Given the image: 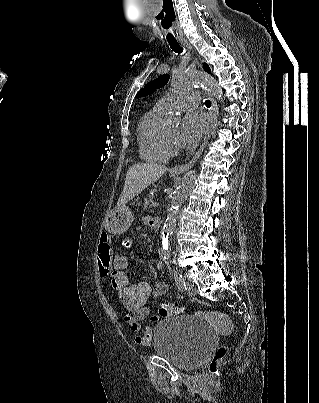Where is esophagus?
I'll use <instances>...</instances> for the list:
<instances>
[{"mask_svg": "<svg viewBox=\"0 0 319 403\" xmlns=\"http://www.w3.org/2000/svg\"><path fill=\"white\" fill-rule=\"evenodd\" d=\"M181 43L184 46H186L187 48L191 49V46L187 41L184 40ZM216 122H217V105H216L215 99L213 97H211L210 125L204 136V139H203V142H202L200 148L198 149L196 154L193 156V158L188 163L173 167L171 169L172 172L177 173V174L184 173V172L188 171L194 165V163L198 160L199 156L203 152V150L210 138V135L216 125Z\"/></svg>", "mask_w": 319, "mask_h": 403, "instance_id": "1", "label": "esophagus"}]
</instances>
